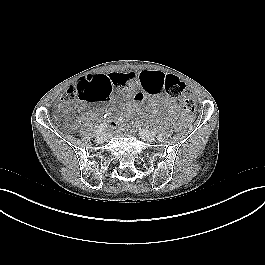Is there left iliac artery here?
Wrapping results in <instances>:
<instances>
[{"mask_svg": "<svg viewBox=\"0 0 265 265\" xmlns=\"http://www.w3.org/2000/svg\"><path fill=\"white\" fill-rule=\"evenodd\" d=\"M161 139H162V136H161V135H159V136H158V140H161Z\"/></svg>", "mask_w": 265, "mask_h": 265, "instance_id": "obj_1", "label": "left iliac artery"}]
</instances>
